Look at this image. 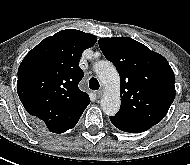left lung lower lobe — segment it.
<instances>
[{
  "mask_svg": "<svg viewBox=\"0 0 190 165\" xmlns=\"http://www.w3.org/2000/svg\"><path fill=\"white\" fill-rule=\"evenodd\" d=\"M110 120L115 127H117L118 129L124 132H129V133H140L152 127L149 125H138V124L128 123V122L118 119L115 116H111Z\"/></svg>",
  "mask_w": 190,
  "mask_h": 165,
  "instance_id": "1",
  "label": "left lung lower lobe"
}]
</instances>
